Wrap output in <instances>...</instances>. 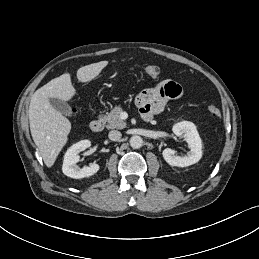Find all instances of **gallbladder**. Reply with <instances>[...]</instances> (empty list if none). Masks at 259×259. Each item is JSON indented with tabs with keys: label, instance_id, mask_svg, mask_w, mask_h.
Masks as SVG:
<instances>
[{
	"label": "gallbladder",
	"instance_id": "1",
	"mask_svg": "<svg viewBox=\"0 0 259 259\" xmlns=\"http://www.w3.org/2000/svg\"><path fill=\"white\" fill-rule=\"evenodd\" d=\"M49 101L58 112L67 117H72V109L65 101L56 98H51Z\"/></svg>",
	"mask_w": 259,
	"mask_h": 259
}]
</instances>
